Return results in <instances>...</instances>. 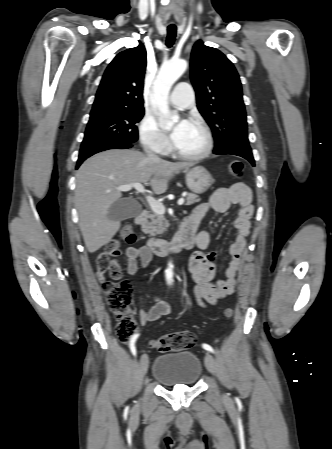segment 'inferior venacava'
Wrapping results in <instances>:
<instances>
[{"label": "inferior vena cava", "mask_w": 332, "mask_h": 449, "mask_svg": "<svg viewBox=\"0 0 332 449\" xmlns=\"http://www.w3.org/2000/svg\"><path fill=\"white\" fill-rule=\"evenodd\" d=\"M145 151H146L147 156H148L149 159H151V160H160V158L157 155H155L153 152H151L148 148H146Z\"/></svg>", "instance_id": "1"}]
</instances>
